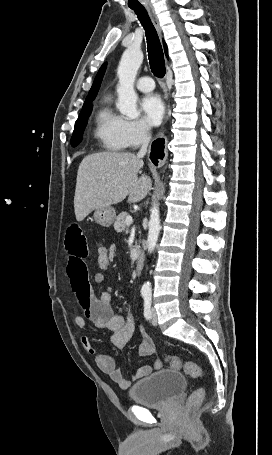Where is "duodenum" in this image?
I'll list each match as a JSON object with an SVG mask.
<instances>
[{"label":"duodenum","instance_id":"duodenum-1","mask_svg":"<svg viewBox=\"0 0 272 455\" xmlns=\"http://www.w3.org/2000/svg\"><path fill=\"white\" fill-rule=\"evenodd\" d=\"M144 264V254L142 251H137L136 253V270L138 273L141 272Z\"/></svg>","mask_w":272,"mask_h":455}]
</instances>
